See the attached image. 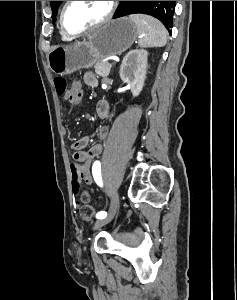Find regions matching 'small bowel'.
I'll return each instance as SVG.
<instances>
[{
	"mask_svg": "<svg viewBox=\"0 0 237 300\" xmlns=\"http://www.w3.org/2000/svg\"><path fill=\"white\" fill-rule=\"evenodd\" d=\"M84 84L88 87H95L98 84L97 77L94 73L88 72L83 77ZM82 84L79 81H74L71 84L70 93H74L77 90L81 89ZM96 114L98 118L102 121L106 120L109 116V104L105 100H100L96 105ZM109 134L108 125L104 124L99 129V138L101 141H105ZM90 138L85 136L78 139L73 144L74 154L73 159L74 163L70 165L71 173L77 172L80 176V179H83L84 182L90 186L93 182L91 166L92 161L100 156L102 152V145L100 143L92 145L89 149Z\"/></svg>",
	"mask_w": 237,
	"mask_h": 300,
	"instance_id": "c3829d8e",
	"label": "small bowel"
}]
</instances>
